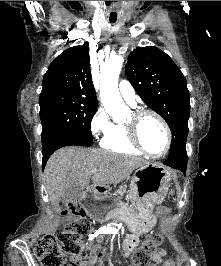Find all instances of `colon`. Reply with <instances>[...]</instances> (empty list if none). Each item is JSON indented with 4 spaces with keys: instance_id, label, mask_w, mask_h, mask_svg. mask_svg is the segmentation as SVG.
<instances>
[{
    "instance_id": "1",
    "label": "colon",
    "mask_w": 221,
    "mask_h": 266,
    "mask_svg": "<svg viewBox=\"0 0 221 266\" xmlns=\"http://www.w3.org/2000/svg\"><path fill=\"white\" fill-rule=\"evenodd\" d=\"M63 214L72 217V220L58 235H45L36 244L35 252L41 266H76V262L67 261V257H89L92 252L83 244V237L89 233L90 222L86 219L84 209L78 204H68ZM162 236L153 233L133 254L134 266H148L151 258L162 243ZM93 255L103 256L100 249Z\"/></svg>"
}]
</instances>
